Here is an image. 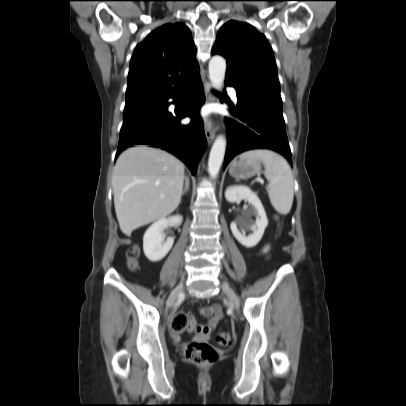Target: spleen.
I'll list each match as a JSON object with an SVG mask.
<instances>
[{"label":"spleen","instance_id":"3e777b00","mask_svg":"<svg viewBox=\"0 0 406 406\" xmlns=\"http://www.w3.org/2000/svg\"><path fill=\"white\" fill-rule=\"evenodd\" d=\"M241 157L263 161L265 176L269 181L267 192L270 202L278 213L287 215L294 198V180L287 161L277 153L266 149L247 151Z\"/></svg>","mask_w":406,"mask_h":406}]
</instances>
